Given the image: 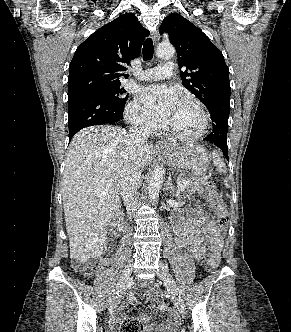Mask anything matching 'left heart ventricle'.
<instances>
[{
    "label": "left heart ventricle",
    "mask_w": 291,
    "mask_h": 332,
    "mask_svg": "<svg viewBox=\"0 0 291 332\" xmlns=\"http://www.w3.org/2000/svg\"><path fill=\"white\" fill-rule=\"evenodd\" d=\"M168 125L180 133L191 134L200 130L202 119L195 105L179 100Z\"/></svg>",
    "instance_id": "1"
}]
</instances>
